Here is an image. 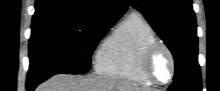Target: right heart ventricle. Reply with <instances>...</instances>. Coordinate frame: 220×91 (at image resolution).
I'll list each match as a JSON object with an SVG mask.
<instances>
[{"label": "right heart ventricle", "mask_w": 220, "mask_h": 91, "mask_svg": "<svg viewBox=\"0 0 220 91\" xmlns=\"http://www.w3.org/2000/svg\"><path fill=\"white\" fill-rule=\"evenodd\" d=\"M156 41L150 23L141 14L130 13L101 45L96 55V71L105 77L151 86L152 82L141 71L140 59Z\"/></svg>", "instance_id": "e07e8e85"}]
</instances>
